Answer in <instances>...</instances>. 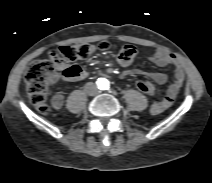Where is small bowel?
I'll return each instance as SVG.
<instances>
[{
	"mask_svg": "<svg viewBox=\"0 0 212 183\" xmlns=\"http://www.w3.org/2000/svg\"><path fill=\"white\" fill-rule=\"evenodd\" d=\"M136 55V50L131 45H126L122 48L121 52L117 56V60L122 67H128L132 64L134 57ZM149 60L157 67H164L167 65H172L174 67V81L169 86L166 95L161 99L156 101L151 106V113L154 115L160 114L167 110L174 102L177 94L179 93L182 84L185 79L184 70L182 68L179 60L164 49H157L155 53L149 57ZM67 64H61L58 66L59 71H64L67 68ZM78 73L72 78H66L63 76L64 80L67 81H79L87 77V73L76 66ZM135 73L142 74L149 77L151 80L158 84H163L167 81V75L162 72H147L141 70H135ZM151 82V81H150ZM152 83V82H151ZM153 84V83H152ZM52 104L54 108L59 109L63 105V99L61 95H54L52 98Z\"/></svg>",
	"mask_w": 212,
	"mask_h": 183,
	"instance_id": "c3829d8e",
	"label": "small bowel"
}]
</instances>
